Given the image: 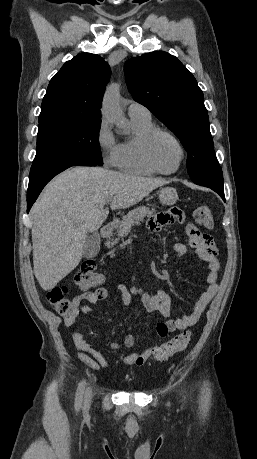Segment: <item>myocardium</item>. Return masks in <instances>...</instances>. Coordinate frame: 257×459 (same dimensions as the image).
Instances as JSON below:
<instances>
[{
  "mask_svg": "<svg viewBox=\"0 0 257 459\" xmlns=\"http://www.w3.org/2000/svg\"><path fill=\"white\" fill-rule=\"evenodd\" d=\"M161 135H164V136H167L169 138H171L175 144L178 146L179 150H180V153H181V157H180V160H179V163L177 165V167L171 171H166V170H163L161 169L154 157H153V144L155 142V140L161 136ZM143 154H144V158L146 160V162L148 163V165L157 173H160V174H163V175H172V174H175L177 173L180 168L182 167L185 159H186V150H185V147L184 145L182 144V142L180 141V139L175 135L173 134L172 132L166 130V129H162V128H154L153 130H151L145 137L144 141H143Z\"/></svg>",
  "mask_w": 257,
  "mask_h": 459,
  "instance_id": "1",
  "label": "myocardium"
}]
</instances>
